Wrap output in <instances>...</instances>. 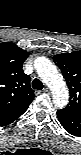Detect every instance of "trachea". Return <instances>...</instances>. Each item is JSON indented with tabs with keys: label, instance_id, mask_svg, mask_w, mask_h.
<instances>
[{
	"label": "trachea",
	"instance_id": "3493384b",
	"mask_svg": "<svg viewBox=\"0 0 81 155\" xmlns=\"http://www.w3.org/2000/svg\"><path fill=\"white\" fill-rule=\"evenodd\" d=\"M32 87L37 90H41L43 88V84L39 79H34L32 82Z\"/></svg>",
	"mask_w": 81,
	"mask_h": 155
}]
</instances>
